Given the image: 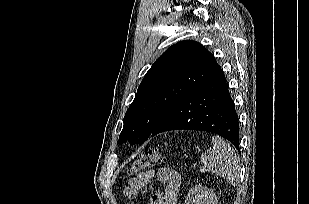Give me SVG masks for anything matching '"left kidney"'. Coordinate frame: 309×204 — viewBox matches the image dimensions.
<instances>
[{
	"label": "left kidney",
	"mask_w": 309,
	"mask_h": 204,
	"mask_svg": "<svg viewBox=\"0 0 309 204\" xmlns=\"http://www.w3.org/2000/svg\"><path fill=\"white\" fill-rule=\"evenodd\" d=\"M216 194L207 187L196 185L193 187L185 200V204H217Z\"/></svg>",
	"instance_id": "1"
}]
</instances>
